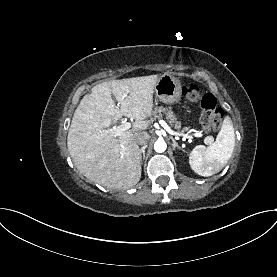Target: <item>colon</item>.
<instances>
[{"instance_id": "colon-1", "label": "colon", "mask_w": 277, "mask_h": 277, "mask_svg": "<svg viewBox=\"0 0 277 277\" xmlns=\"http://www.w3.org/2000/svg\"><path fill=\"white\" fill-rule=\"evenodd\" d=\"M182 94L188 101L199 103L202 109L200 122L204 132L209 133L219 129L224 114L212 94L203 93L201 86L194 82L184 85Z\"/></svg>"}]
</instances>
